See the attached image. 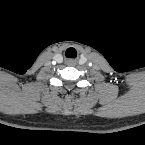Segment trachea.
Here are the masks:
<instances>
[{
    "instance_id": "trachea-1",
    "label": "trachea",
    "mask_w": 145,
    "mask_h": 145,
    "mask_svg": "<svg viewBox=\"0 0 145 145\" xmlns=\"http://www.w3.org/2000/svg\"><path fill=\"white\" fill-rule=\"evenodd\" d=\"M71 49H72V48L67 49L66 53H67L69 50H71Z\"/></svg>"
}]
</instances>
